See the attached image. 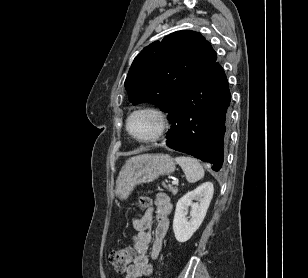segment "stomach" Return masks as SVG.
Masks as SVG:
<instances>
[{
	"mask_svg": "<svg viewBox=\"0 0 308 278\" xmlns=\"http://www.w3.org/2000/svg\"><path fill=\"white\" fill-rule=\"evenodd\" d=\"M175 170L173 158L167 154H142L128 159L116 179L115 194L125 199L139 184L149 183L160 175Z\"/></svg>",
	"mask_w": 308,
	"mask_h": 278,
	"instance_id": "1",
	"label": "stomach"
}]
</instances>
